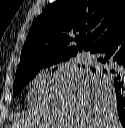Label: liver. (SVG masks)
<instances>
[{
    "mask_svg": "<svg viewBox=\"0 0 125 128\" xmlns=\"http://www.w3.org/2000/svg\"><path fill=\"white\" fill-rule=\"evenodd\" d=\"M112 88L84 70L62 67L27 97L16 128H121ZM13 127V126H12Z\"/></svg>",
    "mask_w": 125,
    "mask_h": 128,
    "instance_id": "1",
    "label": "liver"
}]
</instances>
